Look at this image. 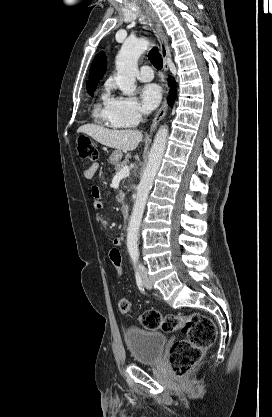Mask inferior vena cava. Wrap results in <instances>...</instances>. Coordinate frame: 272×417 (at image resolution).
<instances>
[{"mask_svg": "<svg viewBox=\"0 0 272 417\" xmlns=\"http://www.w3.org/2000/svg\"><path fill=\"white\" fill-rule=\"evenodd\" d=\"M144 114H148V113L144 111ZM138 268L140 271L145 269L142 264H139Z\"/></svg>", "mask_w": 272, "mask_h": 417, "instance_id": "1", "label": "inferior vena cava"}]
</instances>
